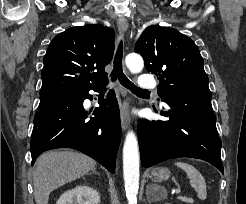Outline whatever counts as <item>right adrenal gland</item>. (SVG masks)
Here are the masks:
<instances>
[{
	"label": "right adrenal gland",
	"mask_w": 246,
	"mask_h": 204,
	"mask_svg": "<svg viewBox=\"0 0 246 204\" xmlns=\"http://www.w3.org/2000/svg\"><path fill=\"white\" fill-rule=\"evenodd\" d=\"M91 173H95V174H97V175H100V173L96 171V168H93L92 171L90 172V174H91Z\"/></svg>",
	"instance_id": "right-adrenal-gland-1"
}]
</instances>
